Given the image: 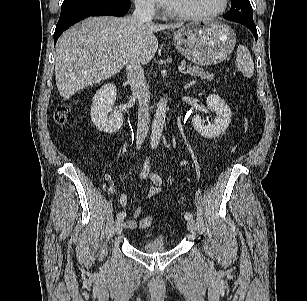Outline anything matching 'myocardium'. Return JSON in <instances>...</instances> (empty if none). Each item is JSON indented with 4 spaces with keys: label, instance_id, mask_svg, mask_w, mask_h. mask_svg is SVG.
<instances>
[{
    "label": "myocardium",
    "instance_id": "obj_1",
    "mask_svg": "<svg viewBox=\"0 0 307 301\" xmlns=\"http://www.w3.org/2000/svg\"><path fill=\"white\" fill-rule=\"evenodd\" d=\"M230 0H222V5L212 12L207 13H198V14H186L180 13L173 10L168 11V14L174 18L185 20V21H202V20H209L214 19L226 12L229 7Z\"/></svg>",
    "mask_w": 307,
    "mask_h": 301
}]
</instances>
